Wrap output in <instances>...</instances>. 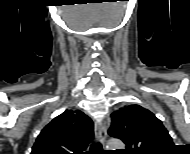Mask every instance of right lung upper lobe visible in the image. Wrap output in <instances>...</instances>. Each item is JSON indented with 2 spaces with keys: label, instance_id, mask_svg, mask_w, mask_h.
I'll use <instances>...</instances> for the list:
<instances>
[{
  "label": "right lung upper lobe",
  "instance_id": "right-lung-upper-lobe-1",
  "mask_svg": "<svg viewBox=\"0 0 190 154\" xmlns=\"http://www.w3.org/2000/svg\"><path fill=\"white\" fill-rule=\"evenodd\" d=\"M92 120L79 110H66L38 135L31 154H83L92 140Z\"/></svg>",
  "mask_w": 190,
  "mask_h": 154
}]
</instances>
